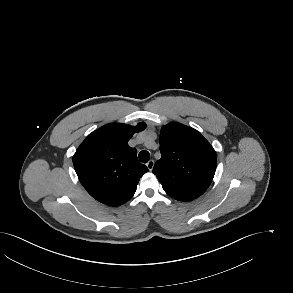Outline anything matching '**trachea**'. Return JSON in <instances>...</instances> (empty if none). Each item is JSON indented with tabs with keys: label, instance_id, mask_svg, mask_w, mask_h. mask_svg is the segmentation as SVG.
Returning a JSON list of instances; mask_svg holds the SVG:
<instances>
[{
	"label": "trachea",
	"instance_id": "3493384b",
	"mask_svg": "<svg viewBox=\"0 0 293 293\" xmlns=\"http://www.w3.org/2000/svg\"><path fill=\"white\" fill-rule=\"evenodd\" d=\"M149 158H150V153L148 151H141L139 153V159L142 163H147L149 161Z\"/></svg>",
	"mask_w": 293,
	"mask_h": 293
}]
</instances>
